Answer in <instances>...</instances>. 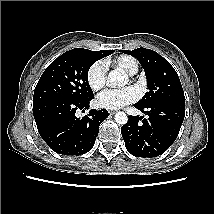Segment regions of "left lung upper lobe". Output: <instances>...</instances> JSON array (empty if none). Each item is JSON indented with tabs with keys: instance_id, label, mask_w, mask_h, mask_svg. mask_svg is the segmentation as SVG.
I'll list each match as a JSON object with an SVG mask.
<instances>
[{
	"instance_id": "1",
	"label": "left lung upper lobe",
	"mask_w": 214,
	"mask_h": 214,
	"mask_svg": "<svg viewBox=\"0 0 214 214\" xmlns=\"http://www.w3.org/2000/svg\"><path fill=\"white\" fill-rule=\"evenodd\" d=\"M137 58L147 78L148 92L136 105L144 107L164 100L185 101L183 88L172 65L157 52L137 48L132 51L120 50Z\"/></svg>"
}]
</instances>
